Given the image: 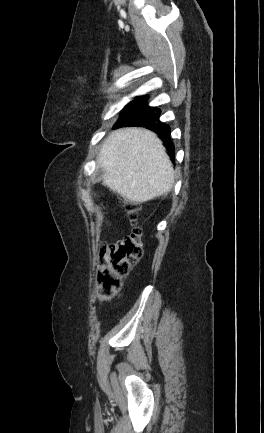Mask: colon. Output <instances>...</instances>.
Listing matches in <instances>:
<instances>
[{
	"label": "colon",
	"instance_id": "1",
	"mask_svg": "<svg viewBox=\"0 0 264 433\" xmlns=\"http://www.w3.org/2000/svg\"><path fill=\"white\" fill-rule=\"evenodd\" d=\"M140 207L136 203L125 204V212L133 225L130 234L122 239L103 244L98 257L99 292L105 298L115 296L121 288V280L143 255L142 232L136 227Z\"/></svg>",
	"mask_w": 264,
	"mask_h": 433
}]
</instances>
